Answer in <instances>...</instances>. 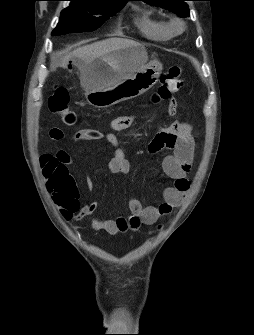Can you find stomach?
Returning <instances> with one entry per match:
<instances>
[{"mask_svg":"<svg viewBox=\"0 0 254 335\" xmlns=\"http://www.w3.org/2000/svg\"><path fill=\"white\" fill-rule=\"evenodd\" d=\"M162 71L158 61L147 62L143 46H131L96 59L85 73L87 102L96 108H106L133 99L152 88ZM120 74L126 75L115 81Z\"/></svg>","mask_w":254,"mask_h":335,"instance_id":"1","label":"stomach"}]
</instances>
